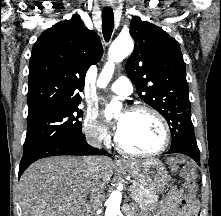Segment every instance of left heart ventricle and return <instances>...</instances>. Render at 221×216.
Masks as SVG:
<instances>
[{"mask_svg":"<svg viewBox=\"0 0 221 216\" xmlns=\"http://www.w3.org/2000/svg\"><path fill=\"white\" fill-rule=\"evenodd\" d=\"M120 119L122 130L118 138L125 147L138 152L159 148L164 134L161 124L153 115L146 112H128Z\"/></svg>","mask_w":221,"mask_h":216,"instance_id":"b2bd125f","label":"left heart ventricle"}]
</instances>
